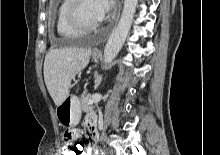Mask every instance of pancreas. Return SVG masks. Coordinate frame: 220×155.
I'll return each instance as SVG.
<instances>
[{
    "label": "pancreas",
    "mask_w": 220,
    "mask_h": 155,
    "mask_svg": "<svg viewBox=\"0 0 220 155\" xmlns=\"http://www.w3.org/2000/svg\"><path fill=\"white\" fill-rule=\"evenodd\" d=\"M90 99L91 98H90L89 95L86 96V95L83 94L81 96V107H82V110L84 112H89V111H91L93 109V106L88 104Z\"/></svg>",
    "instance_id": "obj_1"
}]
</instances>
